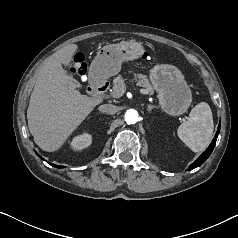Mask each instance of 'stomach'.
I'll return each mask as SVG.
<instances>
[{"label": "stomach", "instance_id": "stomach-1", "mask_svg": "<svg viewBox=\"0 0 238 238\" xmlns=\"http://www.w3.org/2000/svg\"><path fill=\"white\" fill-rule=\"evenodd\" d=\"M144 52L141 43L122 41L101 48L89 69V77L93 80L107 79L118 74L122 62L138 59ZM150 81L157 92L161 108L169 115L184 114L191 102L192 93L181 71L169 64H160L150 70Z\"/></svg>", "mask_w": 238, "mask_h": 238}]
</instances>
